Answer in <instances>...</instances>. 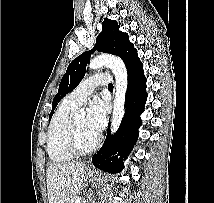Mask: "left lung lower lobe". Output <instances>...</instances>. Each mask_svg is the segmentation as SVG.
Segmentation results:
<instances>
[{
    "label": "left lung lower lobe",
    "instance_id": "0a47b994",
    "mask_svg": "<svg viewBox=\"0 0 214 203\" xmlns=\"http://www.w3.org/2000/svg\"><path fill=\"white\" fill-rule=\"evenodd\" d=\"M126 68L128 89L125 97L124 118L114 135H111L108 130L103 146L92 157V163L97 168L112 173L121 171L122 158L129 154L138 139V128L142 123L140 115L144 111L147 99L143 65L137 53L130 59Z\"/></svg>",
    "mask_w": 214,
    "mask_h": 203
}]
</instances>
